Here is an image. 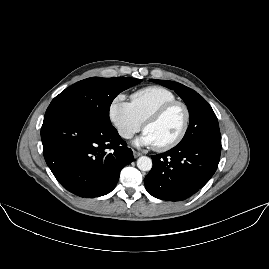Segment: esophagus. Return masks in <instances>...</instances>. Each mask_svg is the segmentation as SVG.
I'll use <instances>...</instances> for the list:
<instances>
[{
    "label": "esophagus",
    "mask_w": 269,
    "mask_h": 269,
    "mask_svg": "<svg viewBox=\"0 0 269 269\" xmlns=\"http://www.w3.org/2000/svg\"><path fill=\"white\" fill-rule=\"evenodd\" d=\"M133 155H134V158H137L141 155V153L133 150Z\"/></svg>",
    "instance_id": "1"
}]
</instances>
